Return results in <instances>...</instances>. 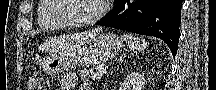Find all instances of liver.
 Returning a JSON list of instances; mask_svg holds the SVG:
<instances>
[{
    "label": "liver",
    "instance_id": "6515ba94",
    "mask_svg": "<svg viewBox=\"0 0 216 90\" xmlns=\"http://www.w3.org/2000/svg\"><path fill=\"white\" fill-rule=\"evenodd\" d=\"M91 34H93V32H91ZM94 34H95V32H94ZM96 34H98V30H97ZM84 40H85V36H82V34H79V36H73V38H72L73 44H80V42H84Z\"/></svg>",
    "mask_w": 216,
    "mask_h": 90
}]
</instances>
